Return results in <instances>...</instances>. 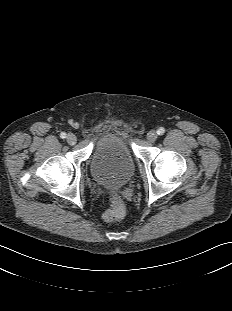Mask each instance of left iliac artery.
Instances as JSON below:
<instances>
[{"mask_svg": "<svg viewBox=\"0 0 232 311\" xmlns=\"http://www.w3.org/2000/svg\"><path fill=\"white\" fill-rule=\"evenodd\" d=\"M165 133V129L163 127H160L158 130H157V134L158 135H163Z\"/></svg>", "mask_w": 232, "mask_h": 311, "instance_id": "left-iliac-artery-1", "label": "left iliac artery"}]
</instances>
